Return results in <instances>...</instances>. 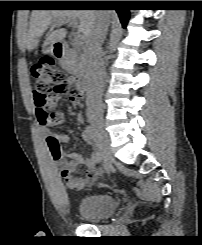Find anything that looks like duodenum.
Returning a JSON list of instances; mask_svg holds the SVG:
<instances>
[{
    "label": "duodenum",
    "instance_id": "duodenum-1",
    "mask_svg": "<svg viewBox=\"0 0 202 245\" xmlns=\"http://www.w3.org/2000/svg\"><path fill=\"white\" fill-rule=\"evenodd\" d=\"M53 54L57 59L66 58L71 51V47L66 41H57L53 46ZM75 88L80 94H90L92 86L90 80L85 76H80L75 82Z\"/></svg>",
    "mask_w": 202,
    "mask_h": 245
}]
</instances>
